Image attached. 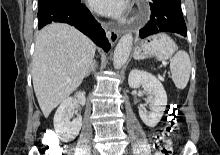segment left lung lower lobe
I'll list each match as a JSON object with an SVG mask.
<instances>
[{
    "label": "left lung lower lobe",
    "instance_id": "left-lung-lower-lobe-1",
    "mask_svg": "<svg viewBox=\"0 0 220 155\" xmlns=\"http://www.w3.org/2000/svg\"><path fill=\"white\" fill-rule=\"evenodd\" d=\"M150 21L139 32L141 38L160 32L187 36L181 0H152Z\"/></svg>",
    "mask_w": 220,
    "mask_h": 155
}]
</instances>
